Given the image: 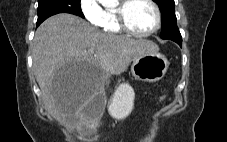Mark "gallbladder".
I'll return each mask as SVG.
<instances>
[{
    "mask_svg": "<svg viewBox=\"0 0 227 142\" xmlns=\"http://www.w3.org/2000/svg\"><path fill=\"white\" fill-rule=\"evenodd\" d=\"M106 97L104 93H95L94 98L84 107L83 114L86 117L97 120L103 109L106 108Z\"/></svg>",
    "mask_w": 227,
    "mask_h": 142,
    "instance_id": "1",
    "label": "gallbladder"
}]
</instances>
